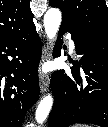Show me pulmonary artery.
<instances>
[{
  "instance_id": "pulmonary-artery-1",
  "label": "pulmonary artery",
  "mask_w": 108,
  "mask_h": 127,
  "mask_svg": "<svg viewBox=\"0 0 108 127\" xmlns=\"http://www.w3.org/2000/svg\"><path fill=\"white\" fill-rule=\"evenodd\" d=\"M69 40V48L71 51H75V44L73 42V40L71 39V37H68Z\"/></svg>"
}]
</instances>
